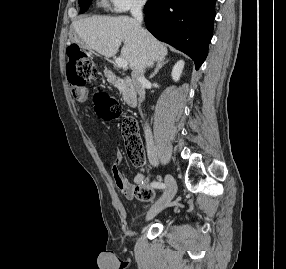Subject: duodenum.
Wrapping results in <instances>:
<instances>
[{"label":"duodenum","instance_id":"duodenum-1","mask_svg":"<svg viewBox=\"0 0 286 269\" xmlns=\"http://www.w3.org/2000/svg\"><path fill=\"white\" fill-rule=\"evenodd\" d=\"M120 86L122 90L124 103L130 108L137 107L138 105L137 92H136L135 86L132 83L131 79L122 78L120 80Z\"/></svg>","mask_w":286,"mask_h":269}]
</instances>
